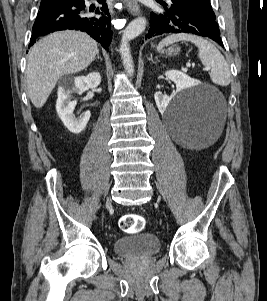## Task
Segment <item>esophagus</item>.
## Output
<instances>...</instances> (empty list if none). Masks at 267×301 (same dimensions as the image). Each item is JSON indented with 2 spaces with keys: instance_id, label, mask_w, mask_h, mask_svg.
<instances>
[{
  "instance_id": "34e87169",
  "label": "esophagus",
  "mask_w": 267,
  "mask_h": 301,
  "mask_svg": "<svg viewBox=\"0 0 267 301\" xmlns=\"http://www.w3.org/2000/svg\"><path fill=\"white\" fill-rule=\"evenodd\" d=\"M128 11L133 15L140 14V6L135 0H124Z\"/></svg>"
}]
</instances>
